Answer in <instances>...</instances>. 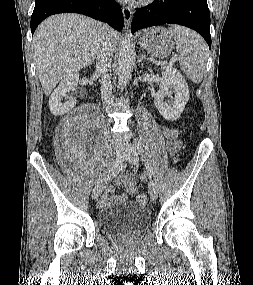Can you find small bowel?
Here are the masks:
<instances>
[{"mask_svg":"<svg viewBox=\"0 0 253 285\" xmlns=\"http://www.w3.org/2000/svg\"><path fill=\"white\" fill-rule=\"evenodd\" d=\"M164 131V135L166 136V138L168 139L167 142V147L168 150L171 154H176L180 147H181V143L180 141L177 139V135H178V131L176 129H170L168 127H164L163 128ZM116 183L118 185H123L126 188V192L117 196V197H112L114 194V188L109 187L105 193L103 194V196L101 197L100 200V205L101 206H108L110 205L112 202L114 201H126L129 199L130 196H132L136 190V182L131 179L130 177H128L127 175L123 174L121 176H119L116 180Z\"/></svg>","mask_w":253,"mask_h":285,"instance_id":"obj_1","label":"small bowel"}]
</instances>
